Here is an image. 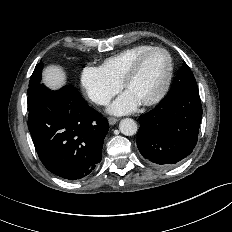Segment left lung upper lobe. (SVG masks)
<instances>
[{"mask_svg": "<svg viewBox=\"0 0 232 232\" xmlns=\"http://www.w3.org/2000/svg\"><path fill=\"white\" fill-rule=\"evenodd\" d=\"M172 86L184 92L199 93L193 73L186 63L179 70Z\"/></svg>", "mask_w": 232, "mask_h": 232, "instance_id": "1", "label": "left lung upper lobe"}]
</instances>
